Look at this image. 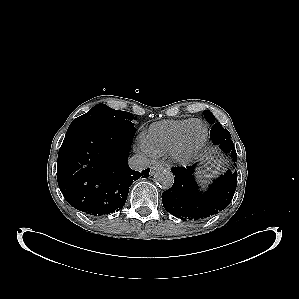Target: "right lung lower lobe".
Instances as JSON below:
<instances>
[{
  "label": "right lung lower lobe",
  "mask_w": 299,
  "mask_h": 299,
  "mask_svg": "<svg viewBox=\"0 0 299 299\" xmlns=\"http://www.w3.org/2000/svg\"><path fill=\"white\" fill-rule=\"evenodd\" d=\"M135 127L67 131L59 150L57 181L65 200L93 216L123 208L131 184L149 176L127 164Z\"/></svg>",
  "instance_id": "98d812e1"
}]
</instances>
